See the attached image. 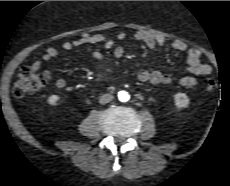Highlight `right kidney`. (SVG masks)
I'll return each mask as SVG.
<instances>
[{"label":"right kidney","mask_w":230,"mask_h":186,"mask_svg":"<svg viewBox=\"0 0 230 186\" xmlns=\"http://www.w3.org/2000/svg\"><path fill=\"white\" fill-rule=\"evenodd\" d=\"M59 99H60V97L58 95H51V96L48 97L47 102L50 105H55Z\"/></svg>","instance_id":"1"}]
</instances>
